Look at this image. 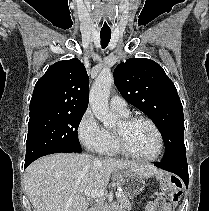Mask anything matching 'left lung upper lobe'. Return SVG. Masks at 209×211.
Listing matches in <instances>:
<instances>
[{"instance_id": "obj_1", "label": "left lung upper lobe", "mask_w": 209, "mask_h": 211, "mask_svg": "<svg viewBox=\"0 0 209 211\" xmlns=\"http://www.w3.org/2000/svg\"><path fill=\"white\" fill-rule=\"evenodd\" d=\"M114 82L127 102L156 123L166 145L161 162L186 157L183 107L163 68L146 58L127 59L114 70Z\"/></svg>"}]
</instances>
